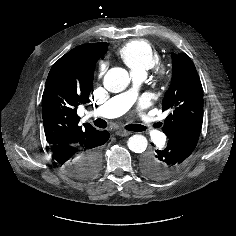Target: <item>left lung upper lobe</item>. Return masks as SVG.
<instances>
[{
  "instance_id": "1",
  "label": "left lung upper lobe",
  "mask_w": 236,
  "mask_h": 236,
  "mask_svg": "<svg viewBox=\"0 0 236 236\" xmlns=\"http://www.w3.org/2000/svg\"><path fill=\"white\" fill-rule=\"evenodd\" d=\"M173 73L162 110L170 114L163 132L169 137L189 129L201 128L203 122V89L192 60L185 54H172Z\"/></svg>"
}]
</instances>
